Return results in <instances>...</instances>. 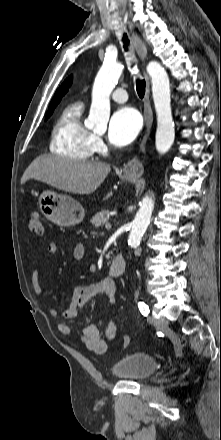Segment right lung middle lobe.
I'll return each instance as SVG.
<instances>
[{"label":"right lung middle lobe","instance_id":"right-lung-middle-lobe-1","mask_svg":"<svg viewBox=\"0 0 221 440\" xmlns=\"http://www.w3.org/2000/svg\"><path fill=\"white\" fill-rule=\"evenodd\" d=\"M53 110H54V107L48 110L46 118L51 116V114L53 113Z\"/></svg>","mask_w":221,"mask_h":440}]
</instances>
